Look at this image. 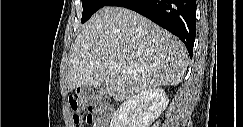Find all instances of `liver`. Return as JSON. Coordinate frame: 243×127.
Masks as SVG:
<instances>
[{
  "mask_svg": "<svg viewBox=\"0 0 243 127\" xmlns=\"http://www.w3.org/2000/svg\"><path fill=\"white\" fill-rule=\"evenodd\" d=\"M187 65L186 47L176 36L132 10L105 6L71 46L68 91L104 85L103 93L123 101L158 86L179 84Z\"/></svg>",
  "mask_w": 243,
  "mask_h": 127,
  "instance_id": "6515ba94",
  "label": "liver"
}]
</instances>
